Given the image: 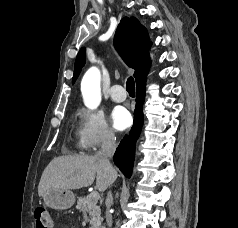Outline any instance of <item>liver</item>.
<instances>
[{
  "mask_svg": "<svg viewBox=\"0 0 238 228\" xmlns=\"http://www.w3.org/2000/svg\"><path fill=\"white\" fill-rule=\"evenodd\" d=\"M117 171L95 156L65 155L53 159L43 171L38 194L43 197L49 189H79L93 184L103 192L117 178Z\"/></svg>",
  "mask_w": 238,
  "mask_h": 228,
  "instance_id": "obj_1",
  "label": "liver"
}]
</instances>
